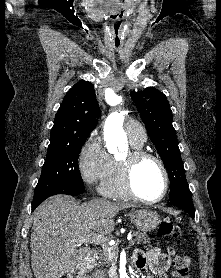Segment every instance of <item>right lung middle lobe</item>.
Here are the masks:
<instances>
[{
  "mask_svg": "<svg viewBox=\"0 0 221 278\" xmlns=\"http://www.w3.org/2000/svg\"><path fill=\"white\" fill-rule=\"evenodd\" d=\"M87 138L74 142L48 146L41 177L35 188L33 200H39L49 191L70 186L84 189L80 175L78 157Z\"/></svg>",
  "mask_w": 221,
  "mask_h": 278,
  "instance_id": "right-lung-middle-lobe-1",
  "label": "right lung middle lobe"
}]
</instances>
